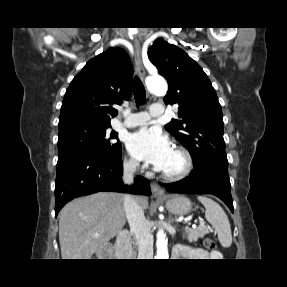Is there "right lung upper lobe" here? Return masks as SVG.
Masks as SVG:
<instances>
[{
    "mask_svg": "<svg viewBox=\"0 0 287 287\" xmlns=\"http://www.w3.org/2000/svg\"><path fill=\"white\" fill-rule=\"evenodd\" d=\"M132 63L121 48H109L86 63L66 90L58 127L73 123L110 125L113 105L132 95Z\"/></svg>",
    "mask_w": 287,
    "mask_h": 287,
    "instance_id": "cb5924a9",
    "label": "right lung upper lobe"
}]
</instances>
